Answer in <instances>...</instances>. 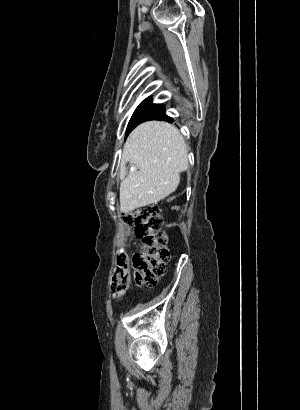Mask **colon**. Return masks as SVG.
Here are the masks:
<instances>
[{"mask_svg":"<svg viewBox=\"0 0 300 410\" xmlns=\"http://www.w3.org/2000/svg\"><path fill=\"white\" fill-rule=\"evenodd\" d=\"M126 225L133 227L137 238L146 248L145 252L131 257L121 256L112 279V289L124 292L130 286L132 276L137 284L154 287L166 273L170 260L167 236L162 230L163 218L160 208L149 204L124 215Z\"/></svg>","mask_w":300,"mask_h":410,"instance_id":"colon-1","label":"colon"}]
</instances>
